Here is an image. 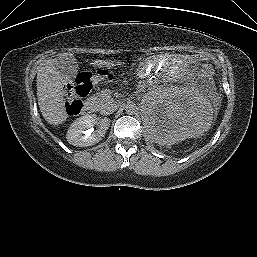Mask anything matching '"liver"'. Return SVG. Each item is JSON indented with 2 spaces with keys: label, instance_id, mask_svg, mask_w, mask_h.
<instances>
[{
  "label": "liver",
  "instance_id": "obj_1",
  "mask_svg": "<svg viewBox=\"0 0 257 257\" xmlns=\"http://www.w3.org/2000/svg\"><path fill=\"white\" fill-rule=\"evenodd\" d=\"M119 63L96 59L94 67L115 66ZM64 78L54 65V59L46 60L38 67L37 97L38 105L44 119L51 125L57 126L67 119L64 106Z\"/></svg>",
  "mask_w": 257,
  "mask_h": 257
}]
</instances>
